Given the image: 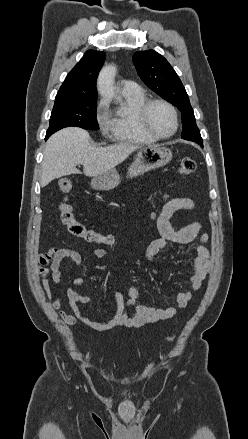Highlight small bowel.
Instances as JSON below:
<instances>
[{
  "instance_id": "small-bowel-1",
  "label": "small bowel",
  "mask_w": 248,
  "mask_h": 439,
  "mask_svg": "<svg viewBox=\"0 0 248 439\" xmlns=\"http://www.w3.org/2000/svg\"><path fill=\"white\" fill-rule=\"evenodd\" d=\"M195 207V202L187 197H176L169 200L163 206L157 218V229L160 238L153 240L145 251V259L151 262L158 253L167 249L170 244H189L197 237L200 238L201 243L195 246L191 252L193 256L192 273L188 278L190 288L177 294L173 306L159 308L156 304L151 306L136 305L139 288L132 286L129 291L130 299L127 302L121 292L115 293L116 309L112 318L106 321H94L86 317L78 307V304H86L91 299L89 296L78 292L77 287L83 284V280L77 279L74 282V288H69L65 292L70 309V313H66L62 310L63 296L59 295L52 299L51 282L56 285L61 283V265L65 259L71 260L76 267L82 265L83 258L81 254L71 248H52L46 253L37 255L39 263L37 273L42 278L41 285L46 298L52 300L53 308L66 324L75 325L79 322L96 331H105L114 327L140 328L174 317L178 310L184 309L189 301L193 299L211 267L210 252L206 246L208 237L205 233H201V223L195 221L180 229H174L170 223V219L175 212L194 210ZM92 253L100 259L108 257V253L102 248H94Z\"/></svg>"
}]
</instances>
